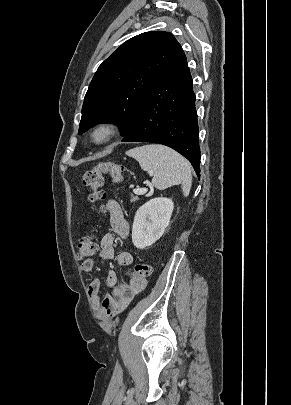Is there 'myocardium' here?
I'll use <instances>...</instances> for the list:
<instances>
[{
	"label": "myocardium",
	"mask_w": 291,
	"mask_h": 405,
	"mask_svg": "<svg viewBox=\"0 0 291 405\" xmlns=\"http://www.w3.org/2000/svg\"><path fill=\"white\" fill-rule=\"evenodd\" d=\"M119 132V126L113 121H102L96 124L90 132V141L96 146L110 142Z\"/></svg>",
	"instance_id": "f54148a6"
}]
</instances>
